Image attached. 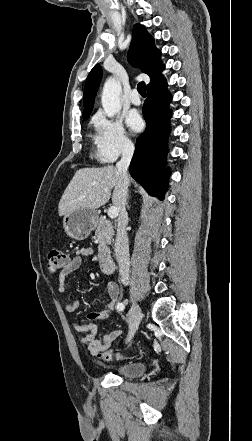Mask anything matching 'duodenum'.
I'll use <instances>...</instances> for the list:
<instances>
[{"label":"duodenum","instance_id":"obj_1","mask_svg":"<svg viewBox=\"0 0 252 441\" xmlns=\"http://www.w3.org/2000/svg\"><path fill=\"white\" fill-rule=\"evenodd\" d=\"M100 269L104 274L107 275H110L114 272V262L106 254H103L100 258Z\"/></svg>","mask_w":252,"mask_h":441}]
</instances>
